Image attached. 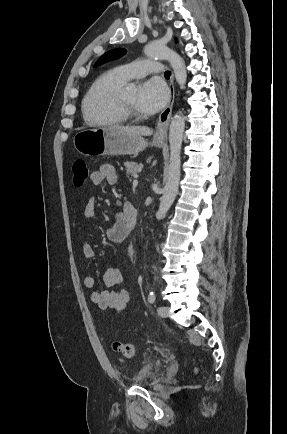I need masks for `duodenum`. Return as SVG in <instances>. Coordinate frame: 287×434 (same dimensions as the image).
<instances>
[{"label": "duodenum", "instance_id": "duodenum-1", "mask_svg": "<svg viewBox=\"0 0 287 434\" xmlns=\"http://www.w3.org/2000/svg\"><path fill=\"white\" fill-rule=\"evenodd\" d=\"M126 218H127L129 231H131L136 226L137 219H138V212L135 209V207L130 203H128L126 207Z\"/></svg>", "mask_w": 287, "mask_h": 434}]
</instances>
